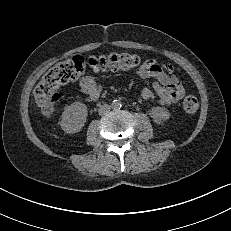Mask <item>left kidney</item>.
Segmentation results:
<instances>
[{"mask_svg": "<svg viewBox=\"0 0 231 231\" xmlns=\"http://www.w3.org/2000/svg\"><path fill=\"white\" fill-rule=\"evenodd\" d=\"M149 115L151 116V118H153L154 122L157 124H162L170 117L169 111L163 107H153L149 111Z\"/></svg>", "mask_w": 231, "mask_h": 231, "instance_id": "left-kidney-1", "label": "left kidney"}]
</instances>
